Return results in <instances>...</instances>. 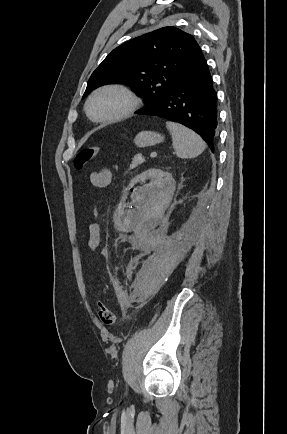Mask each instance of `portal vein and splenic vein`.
<instances>
[{
	"mask_svg": "<svg viewBox=\"0 0 287 434\" xmlns=\"http://www.w3.org/2000/svg\"><path fill=\"white\" fill-rule=\"evenodd\" d=\"M157 156V153L156 152H152L151 154H150V157L151 158H154V157H156Z\"/></svg>",
	"mask_w": 287,
	"mask_h": 434,
	"instance_id": "1",
	"label": "portal vein and splenic vein"
}]
</instances>
